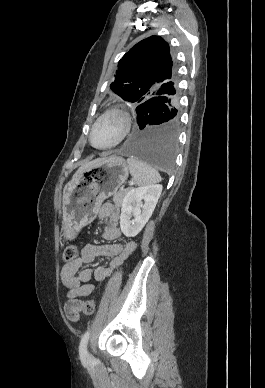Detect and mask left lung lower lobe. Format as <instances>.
I'll use <instances>...</instances> for the list:
<instances>
[{
  "label": "left lung lower lobe",
  "instance_id": "obj_1",
  "mask_svg": "<svg viewBox=\"0 0 265 388\" xmlns=\"http://www.w3.org/2000/svg\"><path fill=\"white\" fill-rule=\"evenodd\" d=\"M177 84L163 89L162 95L136 107V126L124 145L125 153L160 170L173 167L179 127Z\"/></svg>",
  "mask_w": 265,
  "mask_h": 388
}]
</instances>
